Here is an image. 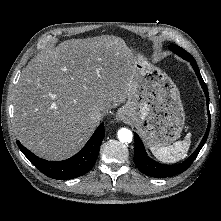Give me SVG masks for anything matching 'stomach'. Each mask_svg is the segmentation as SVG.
<instances>
[{
    "label": "stomach",
    "mask_w": 221,
    "mask_h": 221,
    "mask_svg": "<svg viewBox=\"0 0 221 221\" xmlns=\"http://www.w3.org/2000/svg\"><path fill=\"white\" fill-rule=\"evenodd\" d=\"M121 112L147 146L170 145L180 137L185 123L180 93L174 82L140 56L132 64L129 93Z\"/></svg>",
    "instance_id": "0dacf381"
}]
</instances>
